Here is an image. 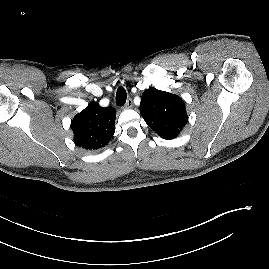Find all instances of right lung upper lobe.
Masks as SVG:
<instances>
[{"label":"right lung upper lobe","instance_id":"1","mask_svg":"<svg viewBox=\"0 0 269 269\" xmlns=\"http://www.w3.org/2000/svg\"><path fill=\"white\" fill-rule=\"evenodd\" d=\"M116 110L91 102L72 120L75 143L85 149H98L108 144L115 132Z\"/></svg>","mask_w":269,"mask_h":269}]
</instances>
